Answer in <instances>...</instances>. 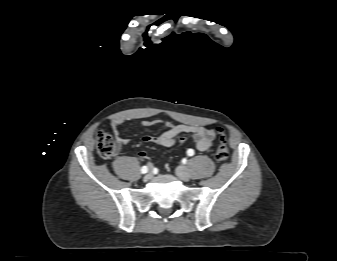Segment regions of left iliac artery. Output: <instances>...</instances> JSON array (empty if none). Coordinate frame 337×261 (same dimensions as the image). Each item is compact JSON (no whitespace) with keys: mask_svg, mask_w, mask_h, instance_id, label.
<instances>
[{"mask_svg":"<svg viewBox=\"0 0 337 261\" xmlns=\"http://www.w3.org/2000/svg\"><path fill=\"white\" fill-rule=\"evenodd\" d=\"M187 154L189 156H193L194 155V150L193 149H188Z\"/></svg>","mask_w":337,"mask_h":261,"instance_id":"1","label":"left iliac artery"}]
</instances>
